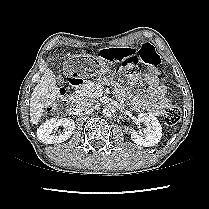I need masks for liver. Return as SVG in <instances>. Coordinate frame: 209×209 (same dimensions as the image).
Returning <instances> with one entry per match:
<instances>
[{
    "label": "liver",
    "instance_id": "1",
    "mask_svg": "<svg viewBox=\"0 0 209 209\" xmlns=\"http://www.w3.org/2000/svg\"><path fill=\"white\" fill-rule=\"evenodd\" d=\"M56 81L55 73L48 68L33 89L30 99V121L32 124L39 123L45 114V108L55 105V100L59 97Z\"/></svg>",
    "mask_w": 209,
    "mask_h": 209
}]
</instances>
